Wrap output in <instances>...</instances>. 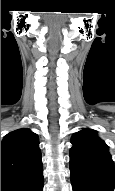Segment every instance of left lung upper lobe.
<instances>
[{"mask_svg":"<svg viewBox=\"0 0 115 191\" xmlns=\"http://www.w3.org/2000/svg\"><path fill=\"white\" fill-rule=\"evenodd\" d=\"M70 164L99 169L115 176L114 162L107 144L100 139L96 131L84 128L72 136Z\"/></svg>","mask_w":115,"mask_h":191,"instance_id":"5c2ea615","label":"left lung upper lobe"}]
</instances>
